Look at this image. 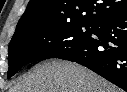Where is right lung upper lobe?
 <instances>
[{
    "label": "right lung upper lobe",
    "mask_w": 127,
    "mask_h": 92,
    "mask_svg": "<svg viewBox=\"0 0 127 92\" xmlns=\"http://www.w3.org/2000/svg\"><path fill=\"white\" fill-rule=\"evenodd\" d=\"M124 11H127V0H30L12 39L36 27L72 23L94 25Z\"/></svg>",
    "instance_id": "1"
}]
</instances>
